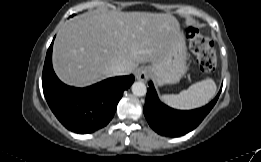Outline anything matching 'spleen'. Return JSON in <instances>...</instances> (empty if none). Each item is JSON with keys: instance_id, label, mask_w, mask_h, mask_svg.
Returning a JSON list of instances; mask_svg holds the SVG:
<instances>
[{"instance_id": "spleen-1", "label": "spleen", "mask_w": 261, "mask_h": 162, "mask_svg": "<svg viewBox=\"0 0 261 162\" xmlns=\"http://www.w3.org/2000/svg\"><path fill=\"white\" fill-rule=\"evenodd\" d=\"M217 90L215 82L208 78L192 84L179 94L162 95L161 100L176 109H194L207 104Z\"/></svg>"}]
</instances>
